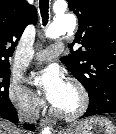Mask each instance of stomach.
Wrapping results in <instances>:
<instances>
[{
  "mask_svg": "<svg viewBox=\"0 0 116 134\" xmlns=\"http://www.w3.org/2000/svg\"><path fill=\"white\" fill-rule=\"evenodd\" d=\"M63 134H116V128L107 118L91 117L69 127Z\"/></svg>",
  "mask_w": 116,
  "mask_h": 134,
  "instance_id": "0dacf381",
  "label": "stomach"
}]
</instances>
